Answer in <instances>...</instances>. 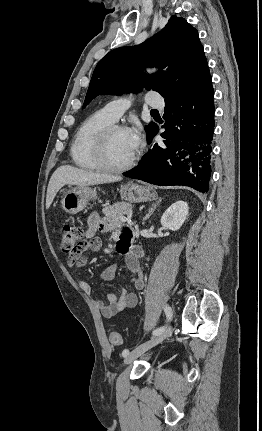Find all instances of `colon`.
<instances>
[{"label":"colon","mask_w":262,"mask_h":431,"mask_svg":"<svg viewBox=\"0 0 262 431\" xmlns=\"http://www.w3.org/2000/svg\"><path fill=\"white\" fill-rule=\"evenodd\" d=\"M98 239L86 238L82 225L64 224L60 231V246L64 253L70 256H78L88 250L91 246L97 244ZM108 341L113 345H119L122 342L121 335L116 330H110Z\"/></svg>","instance_id":"colon-1"}]
</instances>
